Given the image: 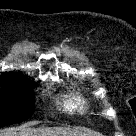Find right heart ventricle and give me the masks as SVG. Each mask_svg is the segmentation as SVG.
Wrapping results in <instances>:
<instances>
[{"label": "right heart ventricle", "mask_w": 136, "mask_h": 136, "mask_svg": "<svg viewBox=\"0 0 136 136\" xmlns=\"http://www.w3.org/2000/svg\"><path fill=\"white\" fill-rule=\"evenodd\" d=\"M64 106L69 110H83L86 100L77 92H72L64 101Z\"/></svg>", "instance_id": "right-heart-ventricle-1"}]
</instances>
